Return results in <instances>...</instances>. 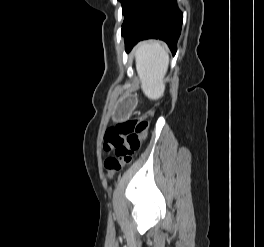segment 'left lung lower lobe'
Returning <instances> with one entry per match:
<instances>
[{
  "instance_id": "1",
  "label": "left lung lower lobe",
  "mask_w": 264,
  "mask_h": 247,
  "mask_svg": "<svg viewBox=\"0 0 264 247\" xmlns=\"http://www.w3.org/2000/svg\"><path fill=\"white\" fill-rule=\"evenodd\" d=\"M182 22L177 0H146L122 31L126 51L140 40L155 38L165 41L175 54Z\"/></svg>"
}]
</instances>
